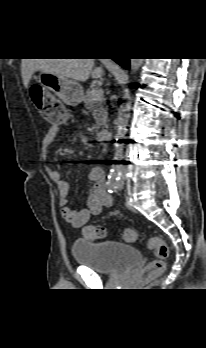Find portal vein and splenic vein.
<instances>
[{
	"label": "portal vein and splenic vein",
	"mask_w": 206,
	"mask_h": 348,
	"mask_svg": "<svg viewBox=\"0 0 206 348\" xmlns=\"http://www.w3.org/2000/svg\"><path fill=\"white\" fill-rule=\"evenodd\" d=\"M104 91L101 88H94L92 90V101H99L103 97Z\"/></svg>",
	"instance_id": "18ae733b"
}]
</instances>
